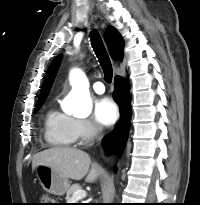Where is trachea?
<instances>
[{"mask_svg": "<svg viewBox=\"0 0 200 205\" xmlns=\"http://www.w3.org/2000/svg\"><path fill=\"white\" fill-rule=\"evenodd\" d=\"M90 36L93 50L104 71V79L106 82H111L113 76L112 64L109 55L106 51V48L103 44L102 38L100 34L97 32V30H93Z\"/></svg>", "mask_w": 200, "mask_h": 205, "instance_id": "trachea-1", "label": "trachea"}]
</instances>
